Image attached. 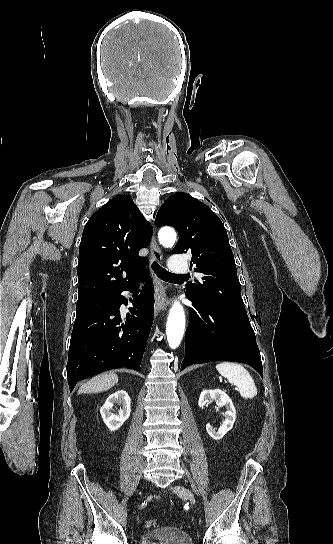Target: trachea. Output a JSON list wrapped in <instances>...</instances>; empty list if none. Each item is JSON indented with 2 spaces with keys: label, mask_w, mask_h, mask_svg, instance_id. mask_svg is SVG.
<instances>
[{
  "label": "trachea",
  "mask_w": 333,
  "mask_h": 544,
  "mask_svg": "<svg viewBox=\"0 0 333 544\" xmlns=\"http://www.w3.org/2000/svg\"><path fill=\"white\" fill-rule=\"evenodd\" d=\"M152 269L154 270V272L163 280L167 281V280H171V279H174V278H185L187 277V275H177V274H173V273H170L169 271H167L166 269L162 268L158 263L154 262L152 264Z\"/></svg>",
  "instance_id": "obj_1"
}]
</instances>
